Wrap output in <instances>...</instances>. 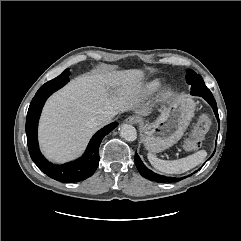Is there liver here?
<instances>
[{
    "label": "liver",
    "instance_id": "1",
    "mask_svg": "<svg viewBox=\"0 0 241 241\" xmlns=\"http://www.w3.org/2000/svg\"><path fill=\"white\" fill-rule=\"evenodd\" d=\"M144 73L100 70L75 78L53 94L43 109L39 142L45 156L63 163L79 156L98 130L93 120L107 112L138 110Z\"/></svg>",
    "mask_w": 241,
    "mask_h": 241
}]
</instances>
